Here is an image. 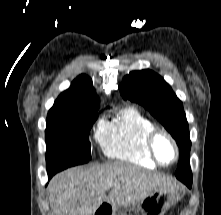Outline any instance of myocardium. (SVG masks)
Returning <instances> with one entry per match:
<instances>
[{"label": "myocardium", "mask_w": 221, "mask_h": 215, "mask_svg": "<svg viewBox=\"0 0 221 215\" xmlns=\"http://www.w3.org/2000/svg\"><path fill=\"white\" fill-rule=\"evenodd\" d=\"M160 138L166 139L172 148L173 155H172V159L169 162H164L160 158V156L157 152V147H156L157 141ZM146 147H147V151H148L150 157L152 158V160L156 164L163 166V167H168V166L173 165L177 161L178 156H179L178 146H177L175 139L167 130L162 129V128H154L149 133V135L147 136V139H146Z\"/></svg>", "instance_id": "1"}]
</instances>
